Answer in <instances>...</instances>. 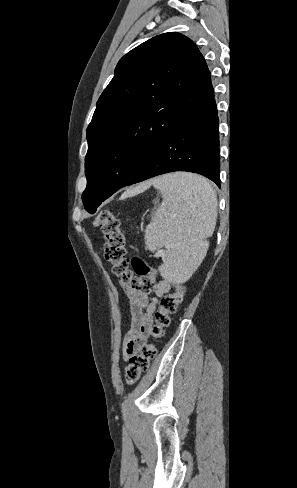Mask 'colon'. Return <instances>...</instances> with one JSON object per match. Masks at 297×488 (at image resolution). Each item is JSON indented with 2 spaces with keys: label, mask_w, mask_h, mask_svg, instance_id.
Listing matches in <instances>:
<instances>
[{
  "label": "colon",
  "mask_w": 297,
  "mask_h": 488,
  "mask_svg": "<svg viewBox=\"0 0 297 488\" xmlns=\"http://www.w3.org/2000/svg\"><path fill=\"white\" fill-rule=\"evenodd\" d=\"M94 225L104 235V256L112 264L115 275L124 284H128L139 293L147 294L154 291L156 288V273L145 261L140 258H134L132 260L133 272L128 269L129 260L126 258L125 236L121 231L120 219L110 210H103L97 215ZM185 293V285L178 284L174 292L160 298L151 328L153 342L144 345L138 353L132 355L129 359V363L125 368V380L128 384L136 383L141 374L148 370L150 362L156 356L155 342L164 336L165 329L171 321V314L176 311Z\"/></svg>",
  "instance_id": "5ec220e1"
}]
</instances>
